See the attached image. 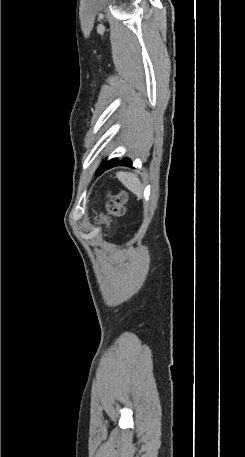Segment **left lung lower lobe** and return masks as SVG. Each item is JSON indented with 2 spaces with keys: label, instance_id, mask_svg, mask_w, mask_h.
Here are the masks:
<instances>
[{
  "label": "left lung lower lobe",
  "instance_id": "obj_1",
  "mask_svg": "<svg viewBox=\"0 0 245 457\" xmlns=\"http://www.w3.org/2000/svg\"><path fill=\"white\" fill-rule=\"evenodd\" d=\"M115 166H131V160L125 158V161L119 160L117 158L111 159L107 162L102 163V165L96 171V176L101 175L105 170L110 169Z\"/></svg>",
  "mask_w": 245,
  "mask_h": 457
}]
</instances>
